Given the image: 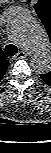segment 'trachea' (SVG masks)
Here are the masks:
<instances>
[{
  "mask_svg": "<svg viewBox=\"0 0 51 153\" xmlns=\"http://www.w3.org/2000/svg\"><path fill=\"white\" fill-rule=\"evenodd\" d=\"M4 50H5V54H6L7 56H10V57L16 55L17 52H18L17 47H16L15 45H13V44H8V45H6V47H5Z\"/></svg>",
  "mask_w": 51,
  "mask_h": 153,
  "instance_id": "3493384b",
  "label": "trachea"
}]
</instances>
